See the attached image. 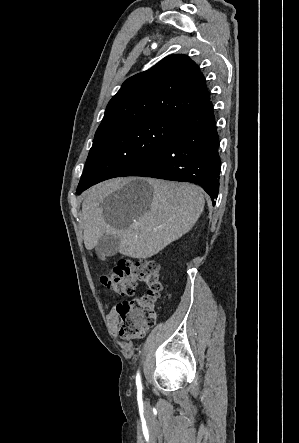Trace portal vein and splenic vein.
Returning <instances> with one entry per match:
<instances>
[{"mask_svg": "<svg viewBox=\"0 0 299 443\" xmlns=\"http://www.w3.org/2000/svg\"><path fill=\"white\" fill-rule=\"evenodd\" d=\"M138 223L137 222H134V225H137Z\"/></svg>", "mask_w": 299, "mask_h": 443, "instance_id": "obj_1", "label": "portal vein and splenic vein"}]
</instances>
